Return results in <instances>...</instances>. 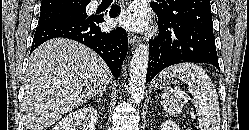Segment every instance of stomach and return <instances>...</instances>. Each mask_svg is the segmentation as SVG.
Instances as JSON below:
<instances>
[{"instance_id": "1", "label": "stomach", "mask_w": 249, "mask_h": 130, "mask_svg": "<svg viewBox=\"0 0 249 130\" xmlns=\"http://www.w3.org/2000/svg\"><path fill=\"white\" fill-rule=\"evenodd\" d=\"M170 80L169 79H164L162 77H160L157 81H156V86L160 87V88H165L168 84H169Z\"/></svg>"}]
</instances>
